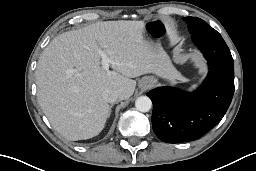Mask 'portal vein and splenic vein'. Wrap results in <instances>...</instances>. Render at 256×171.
Instances as JSON below:
<instances>
[{"label":"portal vein and splenic vein","mask_w":256,"mask_h":171,"mask_svg":"<svg viewBox=\"0 0 256 171\" xmlns=\"http://www.w3.org/2000/svg\"><path fill=\"white\" fill-rule=\"evenodd\" d=\"M101 56V65L104 70H108L110 63H114L103 51H99Z\"/></svg>","instance_id":"1"}]
</instances>
